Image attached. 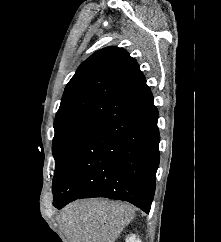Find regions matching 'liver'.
<instances>
[{
    "mask_svg": "<svg viewBox=\"0 0 221 242\" xmlns=\"http://www.w3.org/2000/svg\"><path fill=\"white\" fill-rule=\"evenodd\" d=\"M134 214L135 210L127 203L75 201L63 209L60 225L69 242H115Z\"/></svg>",
    "mask_w": 221,
    "mask_h": 242,
    "instance_id": "6515ba94",
    "label": "liver"
}]
</instances>
